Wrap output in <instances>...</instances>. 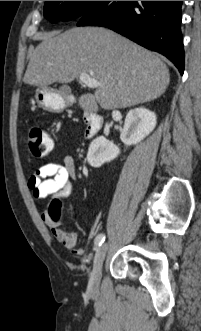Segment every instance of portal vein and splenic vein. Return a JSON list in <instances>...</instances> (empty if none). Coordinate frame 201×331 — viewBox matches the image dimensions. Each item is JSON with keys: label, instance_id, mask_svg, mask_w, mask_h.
Masks as SVG:
<instances>
[{"label": "portal vein and splenic vein", "instance_id": "1", "mask_svg": "<svg viewBox=\"0 0 201 331\" xmlns=\"http://www.w3.org/2000/svg\"><path fill=\"white\" fill-rule=\"evenodd\" d=\"M79 80L88 88H97L99 86H101V84L95 80L94 78H92L90 75H88L87 73H81L79 74Z\"/></svg>", "mask_w": 201, "mask_h": 331}]
</instances>
